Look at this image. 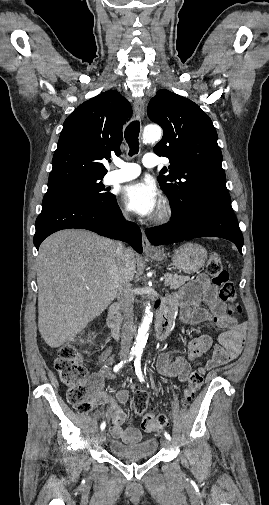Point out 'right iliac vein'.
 Returning <instances> with one entry per match:
<instances>
[{
  "instance_id": "63e3f726",
  "label": "right iliac vein",
  "mask_w": 269,
  "mask_h": 505,
  "mask_svg": "<svg viewBox=\"0 0 269 505\" xmlns=\"http://www.w3.org/2000/svg\"><path fill=\"white\" fill-rule=\"evenodd\" d=\"M105 440H106V432L102 430L98 436V441L100 444H102L104 443Z\"/></svg>"
}]
</instances>
